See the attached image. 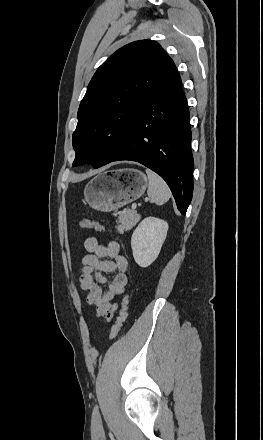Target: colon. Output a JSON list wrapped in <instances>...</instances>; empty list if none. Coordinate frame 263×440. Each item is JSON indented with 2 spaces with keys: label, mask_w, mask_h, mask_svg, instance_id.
<instances>
[{
  "label": "colon",
  "mask_w": 263,
  "mask_h": 440,
  "mask_svg": "<svg viewBox=\"0 0 263 440\" xmlns=\"http://www.w3.org/2000/svg\"><path fill=\"white\" fill-rule=\"evenodd\" d=\"M79 227L82 229H87V230H93V231H102L103 227L96 221L89 219V218H83L79 221ZM127 301L126 299L123 300L122 302V307L119 313V317L116 321V323L114 324V326L111 329L109 338L110 340L114 339L121 331L123 324L126 320L127 317Z\"/></svg>",
  "instance_id": "obj_1"
}]
</instances>
